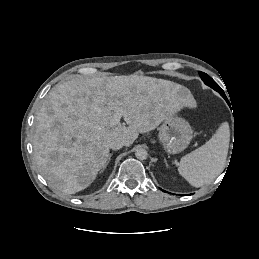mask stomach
<instances>
[{"label":"stomach","mask_w":259,"mask_h":259,"mask_svg":"<svg viewBox=\"0 0 259 259\" xmlns=\"http://www.w3.org/2000/svg\"><path fill=\"white\" fill-rule=\"evenodd\" d=\"M182 91L187 92L185 89ZM192 134V128L185 119L172 115L160 126L158 137L167 153L177 154L188 147Z\"/></svg>","instance_id":"stomach-1"}]
</instances>
